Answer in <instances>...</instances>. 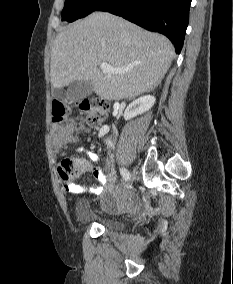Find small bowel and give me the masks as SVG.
Here are the masks:
<instances>
[{
  "mask_svg": "<svg viewBox=\"0 0 233 284\" xmlns=\"http://www.w3.org/2000/svg\"><path fill=\"white\" fill-rule=\"evenodd\" d=\"M56 136L59 142L63 143L67 141L70 136V130L67 128H58ZM79 151H83L80 148ZM89 160L87 159H73L79 173L92 172L98 181L97 185L87 187L85 185H77L72 183L63 182V187L67 192L70 193H83L90 191L94 194H101L104 191H112L115 188V176L114 173L106 175L99 167L95 165L99 163V155L91 150L86 149ZM124 201L118 197H106L103 202V207L106 210H114L124 206Z\"/></svg>",
  "mask_w": 233,
  "mask_h": 284,
  "instance_id": "obj_1",
  "label": "small bowel"
}]
</instances>
